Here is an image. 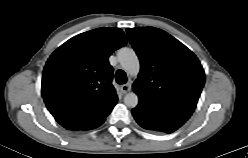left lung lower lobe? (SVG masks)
Here are the masks:
<instances>
[{
	"mask_svg": "<svg viewBox=\"0 0 248 158\" xmlns=\"http://www.w3.org/2000/svg\"><path fill=\"white\" fill-rule=\"evenodd\" d=\"M132 114H133L135 120L137 121V123L141 127L145 128V129H148V130L164 132L158 123H156L155 121H152L149 118L145 117L144 115H142L141 113H139L135 109L132 110Z\"/></svg>",
	"mask_w": 248,
	"mask_h": 158,
	"instance_id": "1",
	"label": "left lung lower lobe"
}]
</instances>
